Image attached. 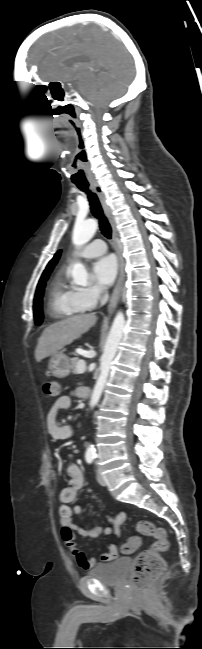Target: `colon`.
Segmentation results:
<instances>
[{
    "instance_id": "obj_1",
    "label": "colon",
    "mask_w": 202,
    "mask_h": 649,
    "mask_svg": "<svg viewBox=\"0 0 202 649\" xmlns=\"http://www.w3.org/2000/svg\"><path fill=\"white\" fill-rule=\"evenodd\" d=\"M43 392L47 397H58L61 392L60 384L54 380H47L43 383ZM142 537H153L155 539L151 548L140 552L134 559L131 579L133 586L144 591L164 570V561L161 553L166 551L169 545L166 530L156 526L154 523L141 520L136 524V539L130 540L125 546V551L134 549L137 539Z\"/></svg>"
}]
</instances>
